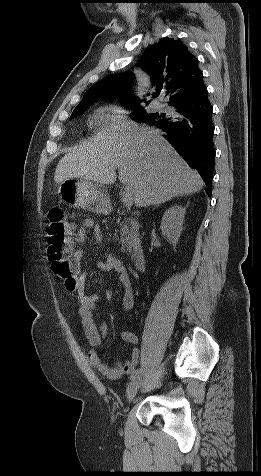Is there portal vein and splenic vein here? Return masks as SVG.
<instances>
[{
  "label": "portal vein and splenic vein",
  "mask_w": 261,
  "mask_h": 476,
  "mask_svg": "<svg viewBox=\"0 0 261 476\" xmlns=\"http://www.w3.org/2000/svg\"><path fill=\"white\" fill-rule=\"evenodd\" d=\"M121 201L126 207L132 206L133 196L129 188L124 189Z\"/></svg>",
  "instance_id": "portal-vein-and-splenic-vein-1"
}]
</instances>
